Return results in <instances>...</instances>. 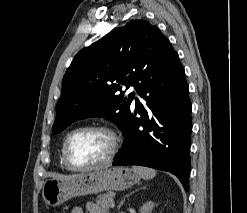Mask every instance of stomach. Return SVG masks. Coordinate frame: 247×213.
<instances>
[{
    "label": "stomach",
    "mask_w": 247,
    "mask_h": 213,
    "mask_svg": "<svg viewBox=\"0 0 247 213\" xmlns=\"http://www.w3.org/2000/svg\"><path fill=\"white\" fill-rule=\"evenodd\" d=\"M140 180V176L126 167L95 170L68 178H48L43 183L42 197L49 206H59L65 201L109 190H124Z\"/></svg>",
    "instance_id": "obj_1"
}]
</instances>
